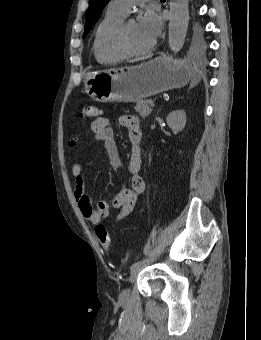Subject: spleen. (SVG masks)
<instances>
[{"instance_id":"spleen-1","label":"spleen","mask_w":261,"mask_h":340,"mask_svg":"<svg viewBox=\"0 0 261 340\" xmlns=\"http://www.w3.org/2000/svg\"><path fill=\"white\" fill-rule=\"evenodd\" d=\"M198 83V77L195 75L192 79V85H196Z\"/></svg>"}]
</instances>
